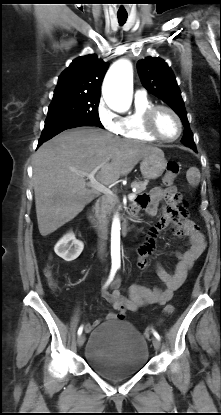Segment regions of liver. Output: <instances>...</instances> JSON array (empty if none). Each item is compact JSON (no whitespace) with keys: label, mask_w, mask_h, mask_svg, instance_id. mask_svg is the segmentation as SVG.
Segmentation results:
<instances>
[{"label":"liver","mask_w":221,"mask_h":415,"mask_svg":"<svg viewBox=\"0 0 221 415\" xmlns=\"http://www.w3.org/2000/svg\"><path fill=\"white\" fill-rule=\"evenodd\" d=\"M161 151L120 139L94 127L64 131L33 157V186L39 232L47 236L75 218L92 201L85 175L101 166L96 179L109 185L129 174L145 156Z\"/></svg>","instance_id":"liver-1"}]
</instances>
